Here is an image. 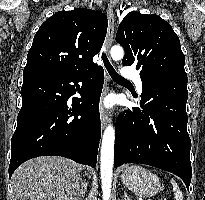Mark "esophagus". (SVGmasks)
Returning a JSON list of instances; mask_svg holds the SVG:
<instances>
[{
    "mask_svg": "<svg viewBox=\"0 0 205 200\" xmlns=\"http://www.w3.org/2000/svg\"><path fill=\"white\" fill-rule=\"evenodd\" d=\"M107 18H108V30H107V38H106V52L108 54V51L113 41L114 29H115L114 13L111 5H108L107 7ZM108 90L109 87L106 85L104 87L103 94L105 95ZM100 120H101L102 128L104 129L109 121V118H108V113L103 106L100 107Z\"/></svg>",
    "mask_w": 205,
    "mask_h": 200,
    "instance_id": "1",
    "label": "esophagus"
}]
</instances>
